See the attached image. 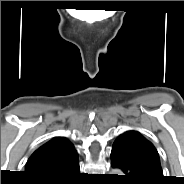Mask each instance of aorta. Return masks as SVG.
Returning a JSON list of instances; mask_svg holds the SVG:
<instances>
[{
    "instance_id": "aorta-1",
    "label": "aorta",
    "mask_w": 184,
    "mask_h": 184,
    "mask_svg": "<svg viewBox=\"0 0 184 184\" xmlns=\"http://www.w3.org/2000/svg\"><path fill=\"white\" fill-rule=\"evenodd\" d=\"M113 174H118V173H120V170H118V169H115V170H113Z\"/></svg>"
}]
</instances>
